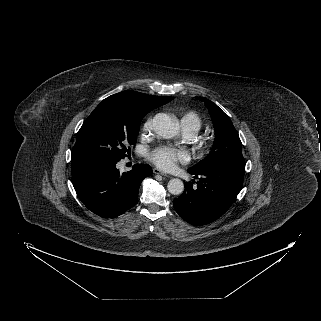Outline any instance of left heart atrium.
<instances>
[{
	"label": "left heart atrium",
	"instance_id": "1",
	"mask_svg": "<svg viewBox=\"0 0 321 321\" xmlns=\"http://www.w3.org/2000/svg\"><path fill=\"white\" fill-rule=\"evenodd\" d=\"M189 154L182 149H175L169 146H162L155 149L151 155V161L164 170H170L179 162L185 163L189 161Z\"/></svg>",
	"mask_w": 321,
	"mask_h": 321
}]
</instances>
